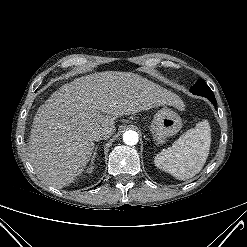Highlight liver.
Returning a JSON list of instances; mask_svg holds the SVG:
<instances>
[{
  "label": "liver",
  "mask_w": 247,
  "mask_h": 247,
  "mask_svg": "<svg viewBox=\"0 0 247 247\" xmlns=\"http://www.w3.org/2000/svg\"><path fill=\"white\" fill-rule=\"evenodd\" d=\"M183 106L175 93L130 72L106 71L75 79L55 91L34 117L28 146L40 178L57 189L85 169L93 150L90 133L115 131L119 116L158 106Z\"/></svg>",
  "instance_id": "obj_1"
}]
</instances>
